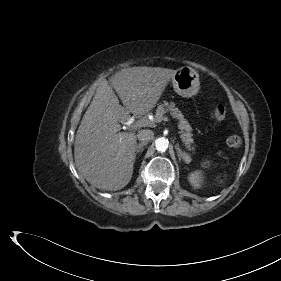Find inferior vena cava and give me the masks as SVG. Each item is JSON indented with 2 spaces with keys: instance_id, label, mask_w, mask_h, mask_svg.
I'll return each mask as SVG.
<instances>
[{
  "instance_id": "obj_1",
  "label": "inferior vena cava",
  "mask_w": 281,
  "mask_h": 281,
  "mask_svg": "<svg viewBox=\"0 0 281 281\" xmlns=\"http://www.w3.org/2000/svg\"><path fill=\"white\" fill-rule=\"evenodd\" d=\"M138 140L142 143H147L154 137V132L149 129L140 130L137 134Z\"/></svg>"
}]
</instances>
